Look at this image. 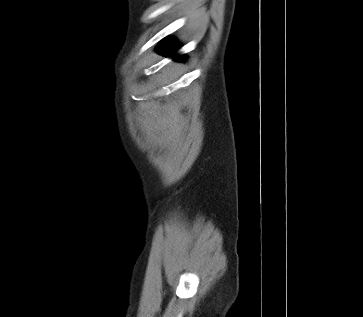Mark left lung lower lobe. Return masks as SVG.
Segmentation results:
<instances>
[{"mask_svg": "<svg viewBox=\"0 0 363 317\" xmlns=\"http://www.w3.org/2000/svg\"><path fill=\"white\" fill-rule=\"evenodd\" d=\"M178 46L175 45L170 39L164 40L159 49V53L165 56L172 55L176 50H178ZM174 60L181 61V58L176 57Z\"/></svg>", "mask_w": 363, "mask_h": 317, "instance_id": "obj_1", "label": "left lung lower lobe"}]
</instances>
